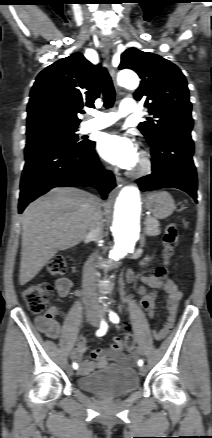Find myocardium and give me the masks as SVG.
<instances>
[{
	"label": "myocardium",
	"mask_w": 212,
	"mask_h": 438,
	"mask_svg": "<svg viewBox=\"0 0 212 438\" xmlns=\"http://www.w3.org/2000/svg\"><path fill=\"white\" fill-rule=\"evenodd\" d=\"M153 170V160L146 152H141L135 165L130 170V175L136 178L144 177Z\"/></svg>",
	"instance_id": "1"
}]
</instances>
